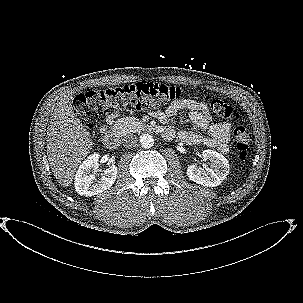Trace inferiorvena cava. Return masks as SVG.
I'll list each match as a JSON object with an SVG mask.
<instances>
[{"instance_id":"inferior-vena-cava-1","label":"inferior vena cava","mask_w":303,"mask_h":303,"mask_svg":"<svg viewBox=\"0 0 303 303\" xmlns=\"http://www.w3.org/2000/svg\"><path fill=\"white\" fill-rule=\"evenodd\" d=\"M137 144V137L134 134H127L123 139V145L125 147H134Z\"/></svg>"}]
</instances>
